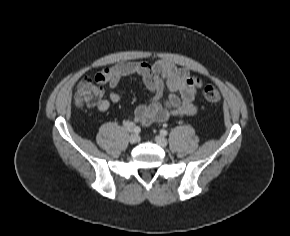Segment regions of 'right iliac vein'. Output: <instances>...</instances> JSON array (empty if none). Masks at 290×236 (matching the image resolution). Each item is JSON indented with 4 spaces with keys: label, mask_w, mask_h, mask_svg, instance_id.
<instances>
[{
    "label": "right iliac vein",
    "mask_w": 290,
    "mask_h": 236,
    "mask_svg": "<svg viewBox=\"0 0 290 236\" xmlns=\"http://www.w3.org/2000/svg\"><path fill=\"white\" fill-rule=\"evenodd\" d=\"M139 136L137 135V134H131L130 136H129V141H130V143H137V142H139Z\"/></svg>",
    "instance_id": "obj_1"
}]
</instances>
